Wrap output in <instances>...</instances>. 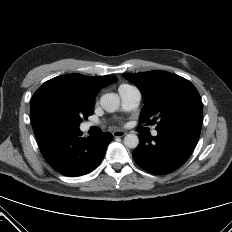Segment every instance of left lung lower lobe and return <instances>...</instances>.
<instances>
[{
    "label": "left lung lower lobe",
    "instance_id": "1",
    "mask_svg": "<svg viewBox=\"0 0 232 232\" xmlns=\"http://www.w3.org/2000/svg\"><path fill=\"white\" fill-rule=\"evenodd\" d=\"M155 137L139 134L133 152L135 162L154 174H167L181 167L197 145L201 124L178 123L156 129Z\"/></svg>",
    "mask_w": 232,
    "mask_h": 232
}]
</instances>
